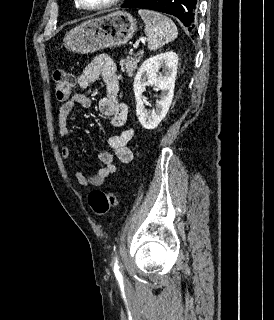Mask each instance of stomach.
Returning a JSON list of instances; mask_svg holds the SVG:
<instances>
[{
	"instance_id": "obj_1",
	"label": "stomach",
	"mask_w": 274,
	"mask_h": 320,
	"mask_svg": "<svg viewBox=\"0 0 274 320\" xmlns=\"http://www.w3.org/2000/svg\"><path fill=\"white\" fill-rule=\"evenodd\" d=\"M136 30L137 22L131 14L113 12L72 28L67 32L63 46L74 54H93L105 48L124 46Z\"/></svg>"
}]
</instances>
